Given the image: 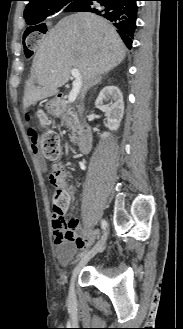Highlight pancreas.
<instances>
[{"label":"pancreas","instance_id":"obj_1","mask_svg":"<svg viewBox=\"0 0 183 329\" xmlns=\"http://www.w3.org/2000/svg\"><path fill=\"white\" fill-rule=\"evenodd\" d=\"M57 116L61 118V125L68 128L71 132V138H74L79 124L77 112L72 111V109L67 107L65 103H62Z\"/></svg>","mask_w":183,"mask_h":329}]
</instances>
